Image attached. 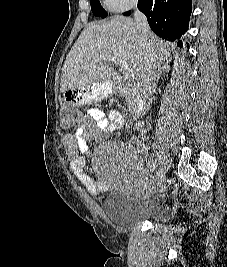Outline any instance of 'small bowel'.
<instances>
[{
  "mask_svg": "<svg viewBox=\"0 0 227 267\" xmlns=\"http://www.w3.org/2000/svg\"><path fill=\"white\" fill-rule=\"evenodd\" d=\"M89 120L77 126L73 134L63 137L64 150L72 173L91 194H98L105 189L104 183L93 177L86 169V159L83 154L89 142L101 141L112 132L119 131L124 126V118L120 112L110 110L107 114L99 109L89 107L86 111ZM130 164V163H129ZM140 181L136 186L139 194L151 192V185L145 171H138Z\"/></svg>",
  "mask_w": 227,
  "mask_h": 267,
  "instance_id": "1",
  "label": "small bowel"
}]
</instances>
